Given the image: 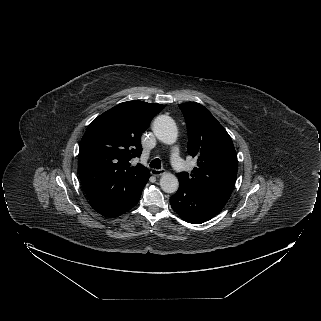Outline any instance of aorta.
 Here are the masks:
<instances>
[{
	"label": "aorta",
	"mask_w": 321,
	"mask_h": 321,
	"mask_svg": "<svg viewBox=\"0 0 321 321\" xmlns=\"http://www.w3.org/2000/svg\"><path fill=\"white\" fill-rule=\"evenodd\" d=\"M155 136L165 144H174L178 137V129L175 121L166 115L158 116L152 126ZM160 187L166 193H175L179 182L175 175L165 173L160 178Z\"/></svg>",
	"instance_id": "obj_1"
}]
</instances>
